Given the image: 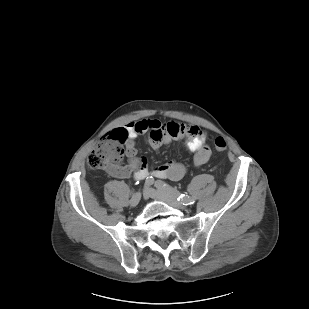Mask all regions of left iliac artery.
Masks as SVG:
<instances>
[{"instance_id": "left-iliac-artery-1", "label": "left iliac artery", "mask_w": 309, "mask_h": 309, "mask_svg": "<svg viewBox=\"0 0 309 309\" xmlns=\"http://www.w3.org/2000/svg\"><path fill=\"white\" fill-rule=\"evenodd\" d=\"M155 187L173 197H175L178 201L182 202L183 205H191L195 202V199L186 195L181 194L179 191H177L175 188L171 187L167 183L157 180L155 181Z\"/></svg>"}]
</instances>
